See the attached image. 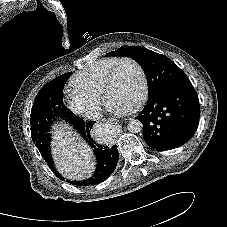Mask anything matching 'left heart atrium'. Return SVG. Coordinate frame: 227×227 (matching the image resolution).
<instances>
[{
	"mask_svg": "<svg viewBox=\"0 0 227 227\" xmlns=\"http://www.w3.org/2000/svg\"><path fill=\"white\" fill-rule=\"evenodd\" d=\"M131 105L117 104V103H108V111L115 114L120 115L128 110H130Z\"/></svg>",
	"mask_w": 227,
	"mask_h": 227,
	"instance_id": "39dd6f15",
	"label": "left heart atrium"
}]
</instances>
